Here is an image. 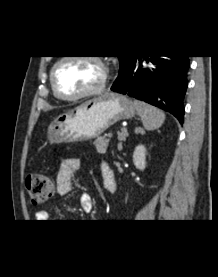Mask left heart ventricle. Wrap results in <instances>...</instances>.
Returning a JSON list of instances; mask_svg holds the SVG:
<instances>
[{"label": "left heart ventricle", "instance_id": "b2bd125f", "mask_svg": "<svg viewBox=\"0 0 218 277\" xmlns=\"http://www.w3.org/2000/svg\"><path fill=\"white\" fill-rule=\"evenodd\" d=\"M100 80V71L96 65L85 60L72 59L61 64L55 73L56 86L65 96L78 95Z\"/></svg>", "mask_w": 218, "mask_h": 277}]
</instances>
